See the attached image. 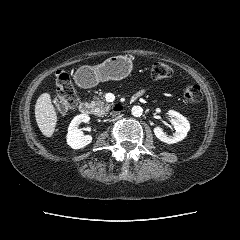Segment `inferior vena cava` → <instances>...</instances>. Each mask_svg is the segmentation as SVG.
<instances>
[{
  "label": "inferior vena cava",
  "instance_id": "inferior-vena-cava-1",
  "mask_svg": "<svg viewBox=\"0 0 240 240\" xmlns=\"http://www.w3.org/2000/svg\"><path fill=\"white\" fill-rule=\"evenodd\" d=\"M121 116H122V115H119V114H117V113H116V114H113V119H112V120H113V121H114V120H117V119L121 118Z\"/></svg>",
  "mask_w": 240,
  "mask_h": 240
}]
</instances>
